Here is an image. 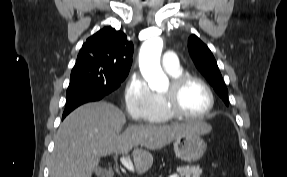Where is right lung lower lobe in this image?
Segmentation results:
<instances>
[{"label": "right lung lower lobe", "instance_id": "right-lung-lower-lobe-1", "mask_svg": "<svg viewBox=\"0 0 287 177\" xmlns=\"http://www.w3.org/2000/svg\"><path fill=\"white\" fill-rule=\"evenodd\" d=\"M112 93H107L103 88L81 87L67 91L66 107L62 116L64 119L71 111L78 106L101 100Z\"/></svg>", "mask_w": 287, "mask_h": 177}]
</instances>
